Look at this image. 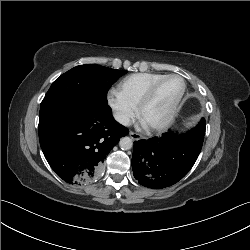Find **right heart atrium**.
<instances>
[{
    "label": "right heart atrium",
    "mask_w": 250,
    "mask_h": 250,
    "mask_svg": "<svg viewBox=\"0 0 250 250\" xmlns=\"http://www.w3.org/2000/svg\"><path fill=\"white\" fill-rule=\"evenodd\" d=\"M107 101L114 117L122 125H128L136 115V106L128 102L117 90H110Z\"/></svg>",
    "instance_id": "right-heart-atrium-1"
}]
</instances>
